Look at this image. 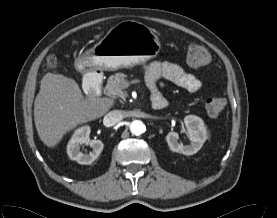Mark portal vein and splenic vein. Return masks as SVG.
<instances>
[{"instance_id":"1","label":"portal vein and splenic vein","mask_w":277,"mask_h":218,"mask_svg":"<svg viewBox=\"0 0 277 218\" xmlns=\"http://www.w3.org/2000/svg\"><path fill=\"white\" fill-rule=\"evenodd\" d=\"M125 85H126V87H128V86H129L128 82H127V83H125Z\"/></svg>"}]
</instances>
